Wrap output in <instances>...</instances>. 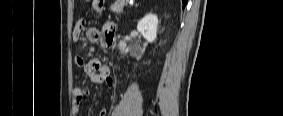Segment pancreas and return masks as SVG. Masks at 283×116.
<instances>
[{"label":"pancreas","mask_w":283,"mask_h":116,"mask_svg":"<svg viewBox=\"0 0 283 116\" xmlns=\"http://www.w3.org/2000/svg\"><path fill=\"white\" fill-rule=\"evenodd\" d=\"M111 10L116 13V14H120L123 11V1L118 0L116 1L112 6H111Z\"/></svg>","instance_id":"cf45deb5"}]
</instances>
